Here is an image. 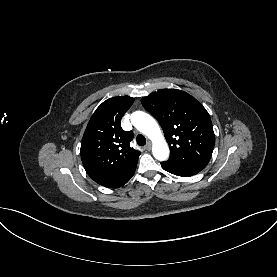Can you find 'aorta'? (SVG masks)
Returning a JSON list of instances; mask_svg holds the SVG:
<instances>
[{
  "mask_svg": "<svg viewBox=\"0 0 277 277\" xmlns=\"http://www.w3.org/2000/svg\"><path fill=\"white\" fill-rule=\"evenodd\" d=\"M131 122L152 141L153 156L159 161L167 160L169 148L155 119L145 112L136 111L131 114Z\"/></svg>",
  "mask_w": 277,
  "mask_h": 277,
  "instance_id": "obj_1",
  "label": "aorta"
}]
</instances>
